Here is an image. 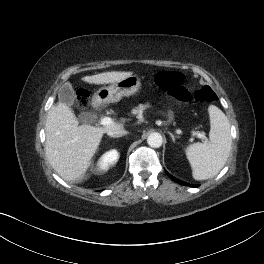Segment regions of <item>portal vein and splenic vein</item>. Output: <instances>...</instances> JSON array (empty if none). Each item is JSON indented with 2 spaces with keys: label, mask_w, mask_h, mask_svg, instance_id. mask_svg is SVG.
Returning <instances> with one entry per match:
<instances>
[{
  "label": "portal vein and splenic vein",
  "mask_w": 264,
  "mask_h": 264,
  "mask_svg": "<svg viewBox=\"0 0 264 264\" xmlns=\"http://www.w3.org/2000/svg\"><path fill=\"white\" fill-rule=\"evenodd\" d=\"M99 124L102 126H110L113 124V121L110 117H104L100 120ZM196 135L198 136V138H202L206 140V137L203 133L198 132L196 133Z\"/></svg>",
  "instance_id": "18ae733b"
}]
</instances>
